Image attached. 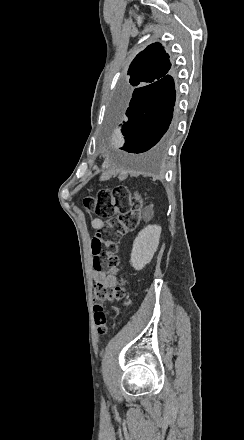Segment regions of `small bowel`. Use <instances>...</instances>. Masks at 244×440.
<instances>
[{
    "label": "small bowel",
    "instance_id": "1",
    "mask_svg": "<svg viewBox=\"0 0 244 440\" xmlns=\"http://www.w3.org/2000/svg\"><path fill=\"white\" fill-rule=\"evenodd\" d=\"M91 226L93 229L98 230L103 226V221L98 218L92 219ZM93 280L96 285L103 284L107 286H115L117 283V278L114 275L108 274L103 270H96L95 268L93 271ZM125 304H128V302Z\"/></svg>",
    "mask_w": 244,
    "mask_h": 440
}]
</instances>
